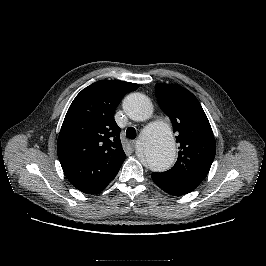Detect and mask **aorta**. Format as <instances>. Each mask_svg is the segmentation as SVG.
I'll return each mask as SVG.
<instances>
[{
	"mask_svg": "<svg viewBox=\"0 0 266 266\" xmlns=\"http://www.w3.org/2000/svg\"><path fill=\"white\" fill-rule=\"evenodd\" d=\"M123 108L134 121H145L153 112L150 100L140 93L128 95L123 102ZM175 157V139L168 124L156 122L145 128L142 132L141 158L150 170L162 172L169 169Z\"/></svg>",
	"mask_w": 266,
	"mask_h": 266,
	"instance_id": "1",
	"label": "aorta"
}]
</instances>
